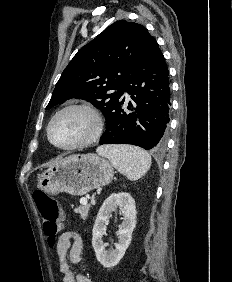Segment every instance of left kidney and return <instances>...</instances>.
I'll return each instance as SVG.
<instances>
[{
	"label": "left kidney",
	"instance_id": "1",
	"mask_svg": "<svg viewBox=\"0 0 232 282\" xmlns=\"http://www.w3.org/2000/svg\"><path fill=\"white\" fill-rule=\"evenodd\" d=\"M117 207L123 210V222L117 231L119 242L114 250L106 251L102 240L105 223L108 221L110 213ZM135 225L136 206L134 199L126 192L112 193L102 204L92 230V246L97 260L104 267L111 268L119 263L131 243Z\"/></svg>",
	"mask_w": 232,
	"mask_h": 282
}]
</instances>
